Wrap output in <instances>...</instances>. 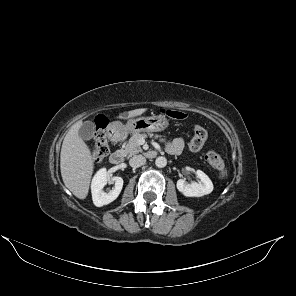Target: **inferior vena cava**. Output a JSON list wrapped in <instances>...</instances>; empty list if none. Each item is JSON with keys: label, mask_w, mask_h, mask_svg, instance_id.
I'll return each mask as SVG.
<instances>
[{"label": "inferior vena cava", "mask_w": 296, "mask_h": 296, "mask_svg": "<svg viewBox=\"0 0 296 296\" xmlns=\"http://www.w3.org/2000/svg\"><path fill=\"white\" fill-rule=\"evenodd\" d=\"M146 162V158L142 155H135L129 160V164L132 167H140L144 165Z\"/></svg>", "instance_id": "602c4592"}]
</instances>
